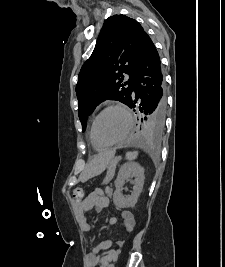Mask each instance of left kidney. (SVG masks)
Returning <instances> with one entry per match:
<instances>
[{"label":"left kidney","mask_w":225,"mask_h":267,"mask_svg":"<svg viewBox=\"0 0 225 267\" xmlns=\"http://www.w3.org/2000/svg\"><path fill=\"white\" fill-rule=\"evenodd\" d=\"M134 177L133 193L125 197L121 193V189L125 180ZM144 169L137 163L123 164L118 172L117 179L115 180L116 190L113 195V202L119 208L133 207L138 197L140 196L144 185Z\"/></svg>","instance_id":"obj_1"}]
</instances>
